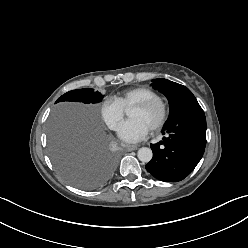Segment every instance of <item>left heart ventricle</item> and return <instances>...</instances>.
<instances>
[{
  "label": "left heart ventricle",
  "instance_id": "b2bd125f",
  "mask_svg": "<svg viewBox=\"0 0 248 248\" xmlns=\"http://www.w3.org/2000/svg\"><path fill=\"white\" fill-rule=\"evenodd\" d=\"M159 114L157 107H153L148 110H139L131 108L128 112V117L130 119H139L141 120L148 128L154 123Z\"/></svg>",
  "mask_w": 248,
  "mask_h": 248
}]
</instances>
